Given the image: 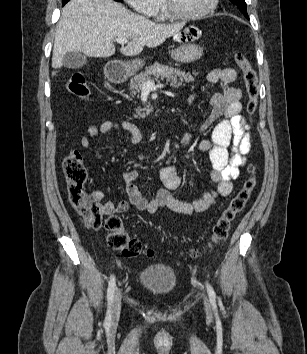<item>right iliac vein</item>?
I'll list each match as a JSON object with an SVG mask.
<instances>
[{"mask_svg":"<svg viewBox=\"0 0 307 354\" xmlns=\"http://www.w3.org/2000/svg\"><path fill=\"white\" fill-rule=\"evenodd\" d=\"M120 310H121V293L120 291H117L114 296L113 306H112L113 320H117L119 318Z\"/></svg>","mask_w":307,"mask_h":354,"instance_id":"1","label":"right iliac vein"}]
</instances>
